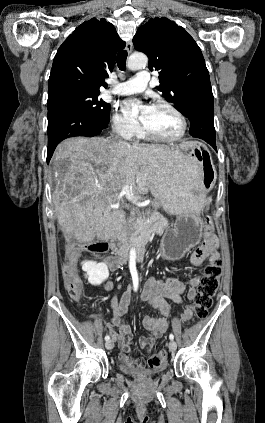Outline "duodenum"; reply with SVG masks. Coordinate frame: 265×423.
<instances>
[{"mask_svg": "<svg viewBox=\"0 0 265 423\" xmlns=\"http://www.w3.org/2000/svg\"><path fill=\"white\" fill-rule=\"evenodd\" d=\"M111 250L118 255L120 262H126L129 259L128 250L124 245L121 233H116L110 239ZM137 259L140 260L146 255V249L141 239L137 242Z\"/></svg>", "mask_w": 265, "mask_h": 423, "instance_id": "410a0bca", "label": "duodenum"}]
</instances>
